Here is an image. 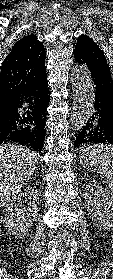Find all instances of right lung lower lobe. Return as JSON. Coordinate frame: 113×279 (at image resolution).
<instances>
[{
  "instance_id": "1",
  "label": "right lung lower lobe",
  "mask_w": 113,
  "mask_h": 279,
  "mask_svg": "<svg viewBox=\"0 0 113 279\" xmlns=\"http://www.w3.org/2000/svg\"><path fill=\"white\" fill-rule=\"evenodd\" d=\"M50 100L45 73L24 92L0 120V143L16 142L41 152L46 134V109ZM23 103L27 104L23 108Z\"/></svg>"
}]
</instances>
